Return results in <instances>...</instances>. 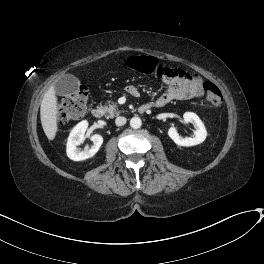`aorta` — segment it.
Here are the masks:
<instances>
[{
    "label": "aorta",
    "mask_w": 264,
    "mask_h": 264,
    "mask_svg": "<svg viewBox=\"0 0 264 264\" xmlns=\"http://www.w3.org/2000/svg\"><path fill=\"white\" fill-rule=\"evenodd\" d=\"M142 125V121L139 117H133L130 120V126L134 129L140 128Z\"/></svg>",
    "instance_id": "1"
}]
</instances>
